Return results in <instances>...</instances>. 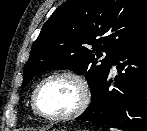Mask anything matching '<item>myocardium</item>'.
<instances>
[{
	"instance_id": "1",
	"label": "myocardium",
	"mask_w": 147,
	"mask_h": 131,
	"mask_svg": "<svg viewBox=\"0 0 147 131\" xmlns=\"http://www.w3.org/2000/svg\"><path fill=\"white\" fill-rule=\"evenodd\" d=\"M59 77H66L74 80L80 87L81 90V101L79 105L74 109L72 112L64 115H48L42 112V110L38 106L37 97L39 90L41 87L51 79L59 78ZM91 102V90L89 84L85 77L78 72L71 71V70H63L51 73L44 77L39 83L35 86L32 95H31V106L33 111L36 115L40 118L52 121V122H61V121H68L79 117L83 114L86 109L89 107Z\"/></svg>"
}]
</instances>
